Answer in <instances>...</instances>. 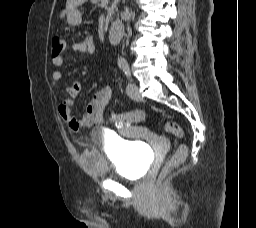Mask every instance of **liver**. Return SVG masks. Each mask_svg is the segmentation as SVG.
Returning <instances> with one entry per match:
<instances>
[{
    "label": "liver",
    "instance_id": "liver-1",
    "mask_svg": "<svg viewBox=\"0 0 256 228\" xmlns=\"http://www.w3.org/2000/svg\"><path fill=\"white\" fill-rule=\"evenodd\" d=\"M87 0H67L66 3V9H72L74 7H77L79 5H82L83 3H85Z\"/></svg>",
    "mask_w": 256,
    "mask_h": 228
}]
</instances>
